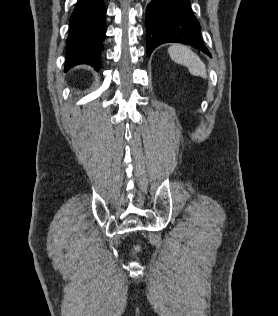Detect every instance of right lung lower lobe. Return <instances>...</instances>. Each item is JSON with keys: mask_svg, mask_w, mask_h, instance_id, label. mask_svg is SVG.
<instances>
[{"mask_svg": "<svg viewBox=\"0 0 278 316\" xmlns=\"http://www.w3.org/2000/svg\"><path fill=\"white\" fill-rule=\"evenodd\" d=\"M105 13L103 0H78L70 18L65 71L78 64H89L99 70Z\"/></svg>", "mask_w": 278, "mask_h": 316, "instance_id": "obj_1", "label": "right lung lower lobe"}]
</instances>
